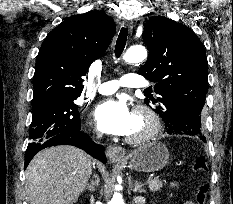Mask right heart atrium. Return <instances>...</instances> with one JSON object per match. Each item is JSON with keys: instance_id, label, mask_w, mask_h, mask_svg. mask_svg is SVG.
<instances>
[{"instance_id": "d8ad5b80", "label": "right heart atrium", "mask_w": 233, "mask_h": 204, "mask_svg": "<svg viewBox=\"0 0 233 204\" xmlns=\"http://www.w3.org/2000/svg\"><path fill=\"white\" fill-rule=\"evenodd\" d=\"M92 135H93L95 138H98V137L100 136L99 132L96 131V130H93Z\"/></svg>"}]
</instances>
